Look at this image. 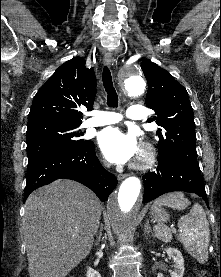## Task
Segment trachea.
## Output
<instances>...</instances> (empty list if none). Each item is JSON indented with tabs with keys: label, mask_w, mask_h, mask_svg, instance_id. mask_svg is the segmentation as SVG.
I'll use <instances>...</instances> for the list:
<instances>
[{
	"label": "trachea",
	"mask_w": 221,
	"mask_h": 277,
	"mask_svg": "<svg viewBox=\"0 0 221 277\" xmlns=\"http://www.w3.org/2000/svg\"><path fill=\"white\" fill-rule=\"evenodd\" d=\"M102 81L107 93V105L109 107H117L118 95L113 86L111 72L107 67L103 69Z\"/></svg>",
	"instance_id": "1"
}]
</instances>
